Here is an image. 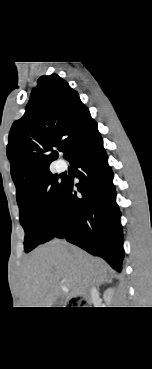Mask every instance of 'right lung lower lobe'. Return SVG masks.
<instances>
[{
  "mask_svg": "<svg viewBox=\"0 0 152 369\" xmlns=\"http://www.w3.org/2000/svg\"><path fill=\"white\" fill-rule=\"evenodd\" d=\"M70 164L80 180H65L58 207L56 231L50 238H65L92 255L105 259L117 271L124 256L120 211L113 172L96 129L70 153Z\"/></svg>",
  "mask_w": 152,
  "mask_h": 369,
  "instance_id": "obj_1",
  "label": "right lung lower lobe"
}]
</instances>
